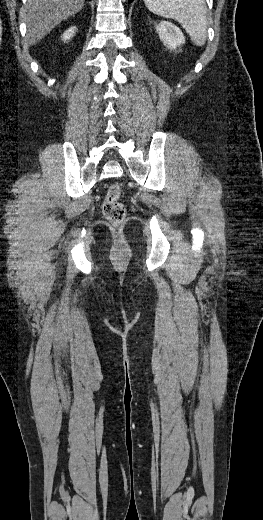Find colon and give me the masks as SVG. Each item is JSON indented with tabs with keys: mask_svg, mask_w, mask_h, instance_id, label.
<instances>
[{
	"mask_svg": "<svg viewBox=\"0 0 263 520\" xmlns=\"http://www.w3.org/2000/svg\"><path fill=\"white\" fill-rule=\"evenodd\" d=\"M121 194V188L118 184L110 185L102 204L104 217L113 224L122 223L126 217V209L121 201Z\"/></svg>",
	"mask_w": 263,
	"mask_h": 520,
	"instance_id": "1",
	"label": "colon"
}]
</instances>
